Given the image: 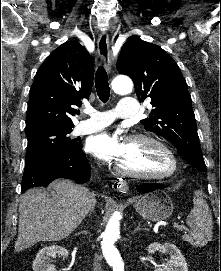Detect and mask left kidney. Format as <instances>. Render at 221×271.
<instances>
[{
  "label": "left kidney",
  "mask_w": 221,
  "mask_h": 271,
  "mask_svg": "<svg viewBox=\"0 0 221 271\" xmlns=\"http://www.w3.org/2000/svg\"><path fill=\"white\" fill-rule=\"evenodd\" d=\"M147 251L148 253L163 251V253H169L170 255V259L162 267H155L154 271H188L186 259L179 247L174 245V243L153 241V243H149Z\"/></svg>",
  "instance_id": "1"
}]
</instances>
